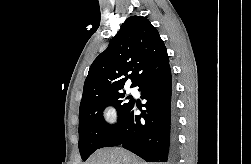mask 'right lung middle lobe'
<instances>
[{
  "label": "right lung middle lobe",
  "instance_id": "obj_1",
  "mask_svg": "<svg viewBox=\"0 0 251 164\" xmlns=\"http://www.w3.org/2000/svg\"><path fill=\"white\" fill-rule=\"evenodd\" d=\"M124 93L117 92L102 96L89 105L80 108L79 113V150L85 161L116 127L108 125L103 118V111L107 106H114L121 121L133 101L124 103Z\"/></svg>",
  "mask_w": 251,
  "mask_h": 164
}]
</instances>
